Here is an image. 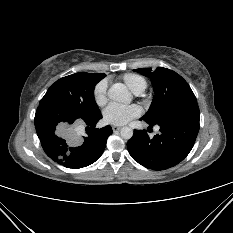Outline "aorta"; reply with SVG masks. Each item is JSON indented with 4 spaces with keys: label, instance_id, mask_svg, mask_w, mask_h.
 <instances>
[{
    "label": "aorta",
    "instance_id": "762f6f07",
    "mask_svg": "<svg viewBox=\"0 0 233 233\" xmlns=\"http://www.w3.org/2000/svg\"><path fill=\"white\" fill-rule=\"evenodd\" d=\"M109 99L129 104L132 100L131 93L127 90L126 86L122 83L113 84L108 90ZM123 139H131L133 136V130L130 127H123L120 131Z\"/></svg>",
    "mask_w": 233,
    "mask_h": 233
}]
</instances>
